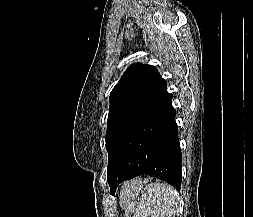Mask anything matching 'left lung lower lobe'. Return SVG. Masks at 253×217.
Listing matches in <instances>:
<instances>
[{
	"label": "left lung lower lobe",
	"mask_w": 253,
	"mask_h": 217,
	"mask_svg": "<svg viewBox=\"0 0 253 217\" xmlns=\"http://www.w3.org/2000/svg\"><path fill=\"white\" fill-rule=\"evenodd\" d=\"M168 92L130 127L120 142L108 177L114 195L124 180L147 174L181 189V150L175 109Z\"/></svg>",
	"instance_id": "1"
}]
</instances>
